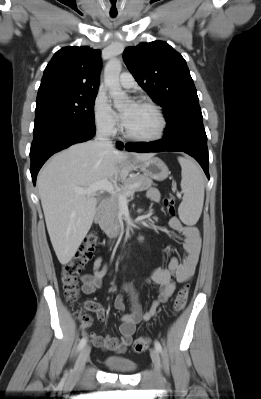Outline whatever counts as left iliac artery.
Instances as JSON below:
<instances>
[{"label": "left iliac artery", "mask_w": 261, "mask_h": 399, "mask_svg": "<svg viewBox=\"0 0 261 399\" xmlns=\"http://www.w3.org/2000/svg\"><path fill=\"white\" fill-rule=\"evenodd\" d=\"M154 345H155L156 350L161 353L162 352V346H161L160 342L155 340Z\"/></svg>", "instance_id": "44dca946"}]
</instances>
